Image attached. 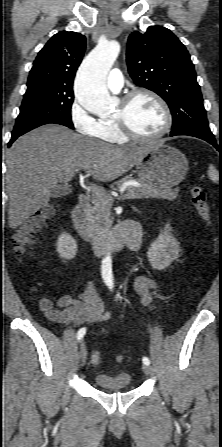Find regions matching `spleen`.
I'll use <instances>...</instances> for the list:
<instances>
[{"instance_id": "1", "label": "spleen", "mask_w": 222, "mask_h": 447, "mask_svg": "<svg viewBox=\"0 0 222 447\" xmlns=\"http://www.w3.org/2000/svg\"><path fill=\"white\" fill-rule=\"evenodd\" d=\"M208 176L210 177V179H211L213 182H218V180H219L218 172H217V170L215 169V167H214L213 165H210V166H209V169H208Z\"/></svg>"}]
</instances>
